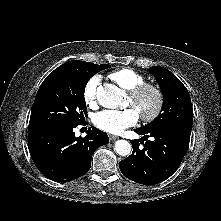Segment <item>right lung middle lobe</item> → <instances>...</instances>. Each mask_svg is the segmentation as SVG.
Returning <instances> with one entry per match:
<instances>
[{
    "label": "right lung middle lobe",
    "mask_w": 221,
    "mask_h": 221,
    "mask_svg": "<svg viewBox=\"0 0 221 221\" xmlns=\"http://www.w3.org/2000/svg\"><path fill=\"white\" fill-rule=\"evenodd\" d=\"M109 67L87 62L81 68L48 75L37 92L28 130L81 124L87 112L85 86L94 74Z\"/></svg>",
    "instance_id": "obj_1"
}]
</instances>
